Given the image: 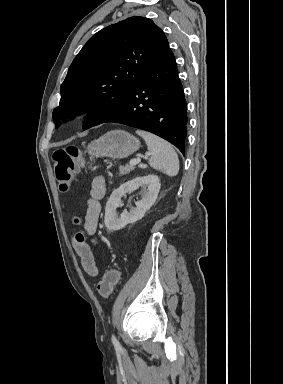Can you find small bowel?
Listing matches in <instances>:
<instances>
[{"mask_svg":"<svg viewBox=\"0 0 283 384\" xmlns=\"http://www.w3.org/2000/svg\"><path fill=\"white\" fill-rule=\"evenodd\" d=\"M106 192L105 180L102 176L94 177L90 182V195L87 200V210L84 218V229L90 235L94 236L97 230L98 218L100 215V200ZM96 244V239H93ZM73 247L80 258V263L84 271L90 276L98 275V267L90 245L86 242L73 240Z\"/></svg>","mask_w":283,"mask_h":384,"instance_id":"1","label":"small bowel"}]
</instances>
